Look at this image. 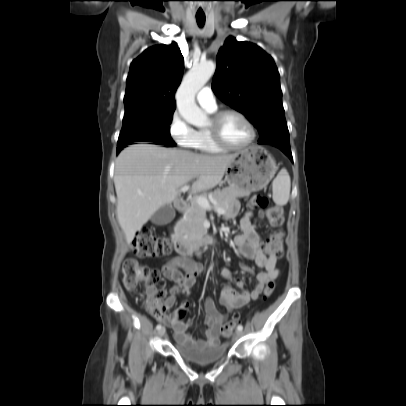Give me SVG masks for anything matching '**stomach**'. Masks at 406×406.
<instances>
[{
  "mask_svg": "<svg viewBox=\"0 0 406 406\" xmlns=\"http://www.w3.org/2000/svg\"><path fill=\"white\" fill-rule=\"evenodd\" d=\"M276 171L274 158L263 147L252 146L236 153L226 170V180L230 187L257 192L267 186Z\"/></svg>",
  "mask_w": 406,
  "mask_h": 406,
  "instance_id": "obj_1",
  "label": "stomach"
}]
</instances>
